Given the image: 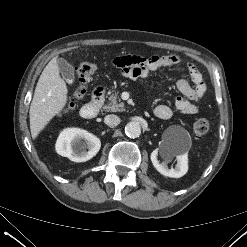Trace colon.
I'll list each match as a JSON object with an SVG mask.
<instances>
[{"mask_svg":"<svg viewBox=\"0 0 247 247\" xmlns=\"http://www.w3.org/2000/svg\"><path fill=\"white\" fill-rule=\"evenodd\" d=\"M96 65L92 62H82L76 69L77 85L72 92L69 107L80 100L86 92V83L96 71ZM193 131L197 135H204L209 131L210 124L205 118H197L192 125Z\"/></svg>","mask_w":247,"mask_h":247,"instance_id":"obj_1","label":"colon"}]
</instances>
